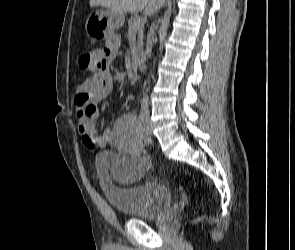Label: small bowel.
Masks as SVG:
<instances>
[{
	"label": "small bowel",
	"instance_id": "c3829d8e",
	"mask_svg": "<svg viewBox=\"0 0 295 250\" xmlns=\"http://www.w3.org/2000/svg\"><path fill=\"white\" fill-rule=\"evenodd\" d=\"M119 44V37L111 35L104 49L90 53L92 73L76 87L74 103L78 109L88 110L79 118L78 125L84 146L103 149L110 145L121 151L123 155L117 160L112 177L120 184H128L140 178L148 167V159L142 156L141 132L135 116L125 114L114 127H105L100 132L97 129V104L112 90L110 64L118 54Z\"/></svg>",
	"mask_w": 295,
	"mask_h": 250
}]
</instances>
